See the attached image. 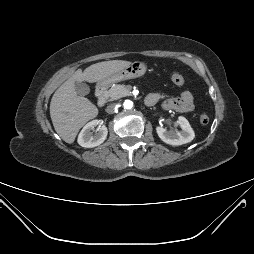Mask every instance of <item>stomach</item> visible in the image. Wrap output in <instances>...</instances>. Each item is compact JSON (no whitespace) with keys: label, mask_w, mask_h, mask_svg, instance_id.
I'll use <instances>...</instances> for the list:
<instances>
[{"label":"stomach","mask_w":254,"mask_h":254,"mask_svg":"<svg viewBox=\"0 0 254 254\" xmlns=\"http://www.w3.org/2000/svg\"><path fill=\"white\" fill-rule=\"evenodd\" d=\"M146 72V65L144 62L135 61L124 69L108 76L99 82L102 86H107L115 82H120L128 79L141 77Z\"/></svg>","instance_id":"obj_1"}]
</instances>
